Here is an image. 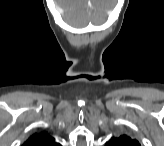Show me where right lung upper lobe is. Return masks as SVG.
Returning a JSON list of instances; mask_svg holds the SVG:
<instances>
[{"instance_id": "cb5924a9", "label": "right lung upper lobe", "mask_w": 164, "mask_h": 146, "mask_svg": "<svg viewBox=\"0 0 164 146\" xmlns=\"http://www.w3.org/2000/svg\"><path fill=\"white\" fill-rule=\"evenodd\" d=\"M54 138L48 136L46 133L33 134L23 144V146H58Z\"/></svg>"}]
</instances>
